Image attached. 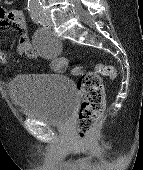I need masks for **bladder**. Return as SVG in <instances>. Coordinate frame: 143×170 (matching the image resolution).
Masks as SVG:
<instances>
[{
	"instance_id": "bladder-1",
	"label": "bladder",
	"mask_w": 143,
	"mask_h": 170,
	"mask_svg": "<svg viewBox=\"0 0 143 170\" xmlns=\"http://www.w3.org/2000/svg\"><path fill=\"white\" fill-rule=\"evenodd\" d=\"M9 92L23 115L56 125L71 119L78 99L72 80L55 73L17 75Z\"/></svg>"
}]
</instances>
